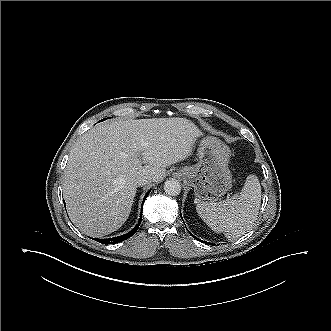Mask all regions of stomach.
<instances>
[{
    "label": "stomach",
    "mask_w": 331,
    "mask_h": 331,
    "mask_svg": "<svg viewBox=\"0 0 331 331\" xmlns=\"http://www.w3.org/2000/svg\"><path fill=\"white\" fill-rule=\"evenodd\" d=\"M198 157L196 165L180 168L178 174L193 187L196 199L214 201L232 186L230 149L219 139L207 136L200 141Z\"/></svg>",
    "instance_id": "obj_1"
}]
</instances>
